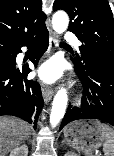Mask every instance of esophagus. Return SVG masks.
<instances>
[{"label": "esophagus", "instance_id": "obj_1", "mask_svg": "<svg viewBox=\"0 0 114 156\" xmlns=\"http://www.w3.org/2000/svg\"><path fill=\"white\" fill-rule=\"evenodd\" d=\"M56 47H57V35L53 31H51L49 37V49L53 51L56 49ZM41 89L44 101L48 103L54 95V88L52 86L42 84Z\"/></svg>", "mask_w": 114, "mask_h": 156}]
</instances>
